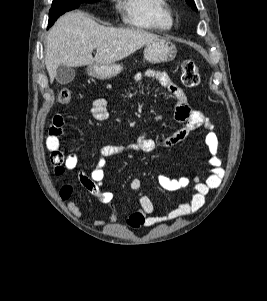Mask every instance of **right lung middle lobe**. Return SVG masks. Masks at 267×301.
<instances>
[{"label":"right lung middle lobe","mask_w":267,"mask_h":301,"mask_svg":"<svg viewBox=\"0 0 267 301\" xmlns=\"http://www.w3.org/2000/svg\"><path fill=\"white\" fill-rule=\"evenodd\" d=\"M99 1L101 0H53L52 7L49 11L48 25L52 26L57 18H59L62 14L76 9L80 4L96 3Z\"/></svg>","instance_id":"obj_1"}]
</instances>
